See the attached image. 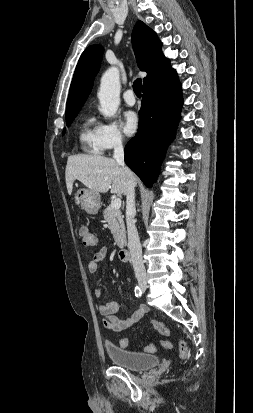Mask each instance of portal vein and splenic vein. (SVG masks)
I'll list each match as a JSON object with an SVG mask.
<instances>
[{"label": "portal vein and splenic vein", "instance_id": "18ae733b", "mask_svg": "<svg viewBox=\"0 0 253 413\" xmlns=\"http://www.w3.org/2000/svg\"><path fill=\"white\" fill-rule=\"evenodd\" d=\"M113 207H114L115 209H119V208L121 207V199H120V198H116V199L113 201Z\"/></svg>", "mask_w": 253, "mask_h": 413}]
</instances>
